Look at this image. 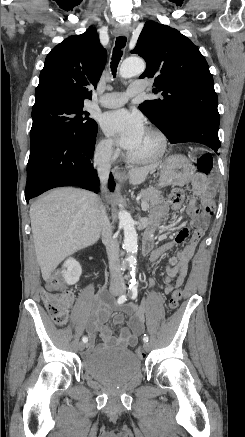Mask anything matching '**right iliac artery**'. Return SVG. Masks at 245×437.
<instances>
[{"label": "right iliac artery", "instance_id": "82829eb1", "mask_svg": "<svg viewBox=\"0 0 245 437\" xmlns=\"http://www.w3.org/2000/svg\"><path fill=\"white\" fill-rule=\"evenodd\" d=\"M126 300H127V295H126V294H123V295H121V296L118 298L117 303H118V304H122V303H124ZM82 341H83L84 343H86V342L88 341V338H87L86 336H84V337L82 338Z\"/></svg>", "mask_w": 245, "mask_h": 437}]
</instances>
